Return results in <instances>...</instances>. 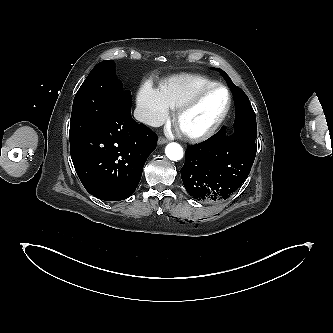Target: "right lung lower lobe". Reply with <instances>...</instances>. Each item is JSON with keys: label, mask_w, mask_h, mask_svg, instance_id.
<instances>
[{"label": "right lung lower lobe", "mask_w": 333, "mask_h": 333, "mask_svg": "<svg viewBox=\"0 0 333 333\" xmlns=\"http://www.w3.org/2000/svg\"><path fill=\"white\" fill-rule=\"evenodd\" d=\"M156 135L131 117V93L117 98L105 118L80 138L70 141L71 158L85 189L106 201L130 197L141 179Z\"/></svg>", "instance_id": "obj_1"}]
</instances>
